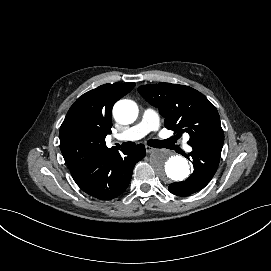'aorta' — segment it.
<instances>
[{
    "label": "aorta",
    "instance_id": "762f6f07",
    "mask_svg": "<svg viewBox=\"0 0 271 271\" xmlns=\"http://www.w3.org/2000/svg\"><path fill=\"white\" fill-rule=\"evenodd\" d=\"M113 115L119 123L131 124L138 117V106L131 100H120L114 105ZM150 164L163 180L182 181L190 174L188 160L168 150L153 152Z\"/></svg>",
    "mask_w": 271,
    "mask_h": 271
}]
</instances>
